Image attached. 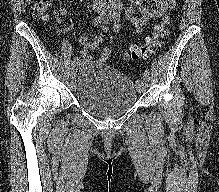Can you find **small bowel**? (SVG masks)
Masks as SVG:
<instances>
[{"instance_id":"1","label":"small bowel","mask_w":219,"mask_h":192,"mask_svg":"<svg viewBox=\"0 0 219 192\" xmlns=\"http://www.w3.org/2000/svg\"><path fill=\"white\" fill-rule=\"evenodd\" d=\"M131 6L124 10L126 19L133 22L136 27L137 33L140 34L142 29L153 19L161 18L166 15V13L173 9L176 5L175 0H152L153 7H149L144 3L143 0H129ZM140 13V17L135 16L136 12ZM66 14V10L63 6L59 5L54 12L56 21L61 24L60 16ZM104 31H108V26L103 23ZM77 43L83 44V48L78 52V56L75 58L78 65H86L94 61L92 56V51H100V47L104 38L102 36L94 37H78L75 40ZM126 58V56H125ZM105 59L103 54H101L100 60Z\"/></svg>"}]
</instances>
